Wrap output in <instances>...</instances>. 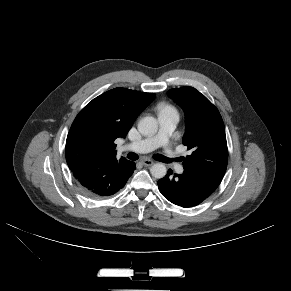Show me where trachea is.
Listing matches in <instances>:
<instances>
[{
	"label": "trachea",
	"mask_w": 291,
	"mask_h": 291,
	"mask_svg": "<svg viewBox=\"0 0 291 291\" xmlns=\"http://www.w3.org/2000/svg\"><path fill=\"white\" fill-rule=\"evenodd\" d=\"M127 158H129L130 160L135 161V160L138 159V155L136 153H134V152H130V153H128ZM154 159L157 160V161H160V162H164V163H168L169 162V160L165 156H163L161 154L154 155Z\"/></svg>",
	"instance_id": "obj_1"
}]
</instances>
